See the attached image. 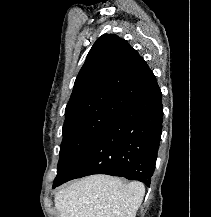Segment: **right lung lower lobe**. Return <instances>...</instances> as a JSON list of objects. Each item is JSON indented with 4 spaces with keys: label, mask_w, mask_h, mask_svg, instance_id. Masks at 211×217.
I'll return each mask as SVG.
<instances>
[{
    "label": "right lung lower lobe",
    "mask_w": 211,
    "mask_h": 217,
    "mask_svg": "<svg viewBox=\"0 0 211 217\" xmlns=\"http://www.w3.org/2000/svg\"><path fill=\"white\" fill-rule=\"evenodd\" d=\"M158 85L122 109L53 188L72 179L108 174L150 186L162 131Z\"/></svg>",
    "instance_id": "1"
}]
</instances>
